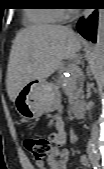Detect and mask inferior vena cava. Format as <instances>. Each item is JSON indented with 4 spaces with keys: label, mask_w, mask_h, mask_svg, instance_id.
<instances>
[{
    "label": "inferior vena cava",
    "mask_w": 104,
    "mask_h": 169,
    "mask_svg": "<svg viewBox=\"0 0 104 169\" xmlns=\"http://www.w3.org/2000/svg\"><path fill=\"white\" fill-rule=\"evenodd\" d=\"M69 29L71 30V28H69ZM98 135H99L98 126H97V124H94L92 127V132H91V138L94 143H97Z\"/></svg>",
    "instance_id": "1"
}]
</instances>
